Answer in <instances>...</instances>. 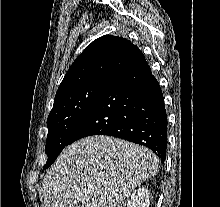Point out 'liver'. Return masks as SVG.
Segmentation results:
<instances>
[{
    "mask_svg": "<svg viewBox=\"0 0 220 207\" xmlns=\"http://www.w3.org/2000/svg\"><path fill=\"white\" fill-rule=\"evenodd\" d=\"M158 171L159 159L148 148L89 136L65 148L47 172L44 207H124L132 190Z\"/></svg>",
    "mask_w": 220,
    "mask_h": 207,
    "instance_id": "liver-1",
    "label": "liver"
}]
</instances>
